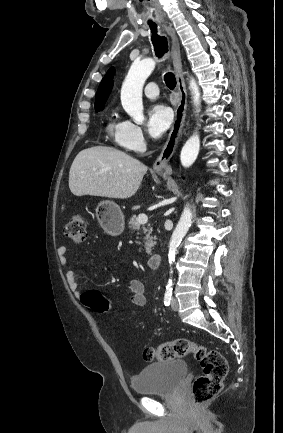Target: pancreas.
I'll return each instance as SVG.
<instances>
[{"instance_id": "obj_1", "label": "pancreas", "mask_w": 283, "mask_h": 433, "mask_svg": "<svg viewBox=\"0 0 283 433\" xmlns=\"http://www.w3.org/2000/svg\"><path fill=\"white\" fill-rule=\"evenodd\" d=\"M129 229L131 231H140V223H138L136 219V214H134V217H131L130 221H128ZM143 233H145V249L147 255H152V247H154L156 241L155 237H151L152 229L151 227H142ZM137 235H140V233H137Z\"/></svg>"}]
</instances>
